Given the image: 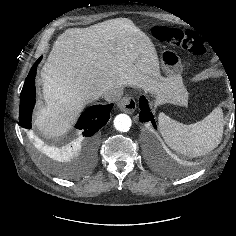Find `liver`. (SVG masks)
Returning <instances> with one entry per match:
<instances>
[{
  "mask_svg": "<svg viewBox=\"0 0 236 236\" xmlns=\"http://www.w3.org/2000/svg\"><path fill=\"white\" fill-rule=\"evenodd\" d=\"M159 65L151 39L128 18L68 29L42 68L45 106L36 111L34 124L48 137L63 135L85 105L124 86L187 105L180 89L161 76Z\"/></svg>",
  "mask_w": 236,
  "mask_h": 236,
  "instance_id": "1",
  "label": "liver"
}]
</instances>
